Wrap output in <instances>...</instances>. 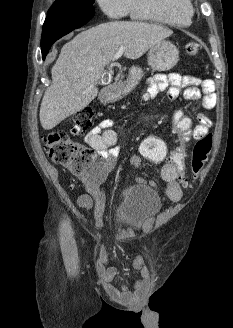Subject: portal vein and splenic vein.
I'll return each mask as SVG.
<instances>
[{"label":"portal vein and splenic vein","instance_id":"18ae733b","mask_svg":"<svg viewBox=\"0 0 233 328\" xmlns=\"http://www.w3.org/2000/svg\"><path fill=\"white\" fill-rule=\"evenodd\" d=\"M125 50V47L124 46H120L118 51L116 52V54L114 55V58H113V61L118 59L119 57L122 56L123 52Z\"/></svg>","mask_w":233,"mask_h":328}]
</instances>
